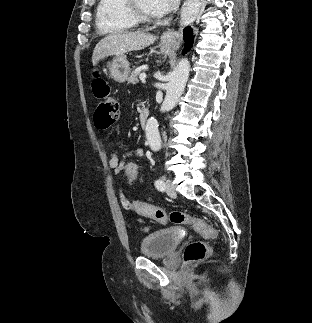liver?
<instances>
[{"label":"liver","mask_w":312,"mask_h":323,"mask_svg":"<svg viewBox=\"0 0 312 323\" xmlns=\"http://www.w3.org/2000/svg\"><path fill=\"white\" fill-rule=\"evenodd\" d=\"M156 36L143 34V32H117L108 34L106 38L100 40L93 50L92 64L96 66L99 60L106 56H123L126 52L133 50H144L155 42Z\"/></svg>","instance_id":"6515ba94"}]
</instances>
